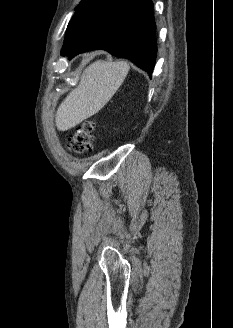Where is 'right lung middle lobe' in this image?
<instances>
[{
    "label": "right lung middle lobe",
    "instance_id": "obj_1",
    "mask_svg": "<svg viewBox=\"0 0 233 328\" xmlns=\"http://www.w3.org/2000/svg\"><path fill=\"white\" fill-rule=\"evenodd\" d=\"M92 0H82L80 2V4L76 7V11L82 9L83 7H85L87 4H89Z\"/></svg>",
    "mask_w": 233,
    "mask_h": 328
}]
</instances>
